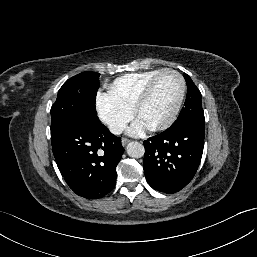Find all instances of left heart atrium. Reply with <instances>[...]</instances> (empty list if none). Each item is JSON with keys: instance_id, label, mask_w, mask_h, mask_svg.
Returning a JSON list of instances; mask_svg holds the SVG:
<instances>
[{"instance_id": "left-heart-atrium-1", "label": "left heart atrium", "mask_w": 257, "mask_h": 257, "mask_svg": "<svg viewBox=\"0 0 257 257\" xmlns=\"http://www.w3.org/2000/svg\"><path fill=\"white\" fill-rule=\"evenodd\" d=\"M147 129L148 126L146 125V123L138 118L128 129V134L131 136H141L146 132Z\"/></svg>"}]
</instances>
